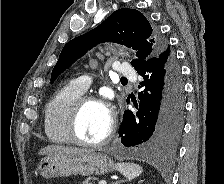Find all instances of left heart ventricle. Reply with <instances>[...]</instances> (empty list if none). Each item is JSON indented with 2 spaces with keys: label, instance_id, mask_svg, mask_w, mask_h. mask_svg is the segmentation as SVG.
Instances as JSON below:
<instances>
[{
  "label": "left heart ventricle",
  "instance_id": "obj_1",
  "mask_svg": "<svg viewBox=\"0 0 224 184\" xmlns=\"http://www.w3.org/2000/svg\"><path fill=\"white\" fill-rule=\"evenodd\" d=\"M109 122V113L103 105L89 103L81 112L78 134L83 140L99 141L107 134Z\"/></svg>",
  "mask_w": 224,
  "mask_h": 184
}]
</instances>
